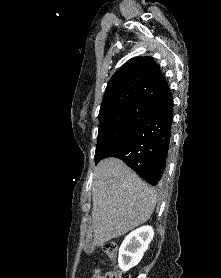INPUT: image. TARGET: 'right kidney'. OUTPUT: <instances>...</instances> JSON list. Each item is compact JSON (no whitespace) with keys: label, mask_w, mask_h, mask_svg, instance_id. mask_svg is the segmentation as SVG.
<instances>
[{"label":"right kidney","mask_w":221,"mask_h":278,"mask_svg":"<svg viewBox=\"0 0 221 278\" xmlns=\"http://www.w3.org/2000/svg\"><path fill=\"white\" fill-rule=\"evenodd\" d=\"M153 236V228L151 226H143L132 231L124 239L118 256V264L122 271H128L140 262Z\"/></svg>","instance_id":"1"}]
</instances>
